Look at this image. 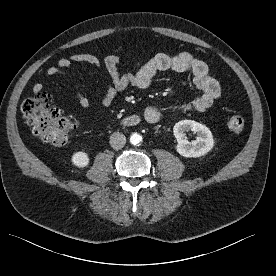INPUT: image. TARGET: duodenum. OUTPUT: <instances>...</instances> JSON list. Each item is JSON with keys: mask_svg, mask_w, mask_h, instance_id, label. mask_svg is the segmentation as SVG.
<instances>
[{"mask_svg": "<svg viewBox=\"0 0 276 276\" xmlns=\"http://www.w3.org/2000/svg\"><path fill=\"white\" fill-rule=\"evenodd\" d=\"M140 118L137 115H129L121 120V124L126 127H133L138 125Z\"/></svg>", "mask_w": 276, "mask_h": 276, "instance_id": "duodenum-1", "label": "duodenum"}]
</instances>
